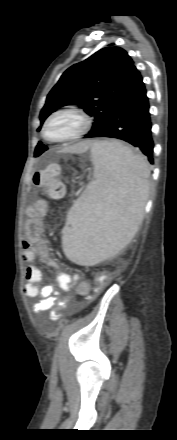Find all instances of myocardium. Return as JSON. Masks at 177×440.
I'll return each mask as SVG.
<instances>
[{"label": "myocardium", "mask_w": 177, "mask_h": 440, "mask_svg": "<svg viewBox=\"0 0 177 440\" xmlns=\"http://www.w3.org/2000/svg\"><path fill=\"white\" fill-rule=\"evenodd\" d=\"M60 115H70V116L75 117L79 121V126L74 132L70 133L67 136L52 139L47 134V128H48L49 124L53 121V119L56 118L57 116H60ZM90 126H91V120L81 110L76 109V108H61V109L55 110L46 118V120L44 121L42 128H41V136L44 140H46L47 142H50V143L71 142V141H75L77 139L82 138L88 132Z\"/></svg>", "instance_id": "f54148a6"}]
</instances>
